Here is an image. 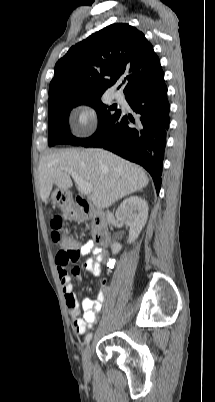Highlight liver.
Masks as SVG:
<instances>
[{"mask_svg":"<svg viewBox=\"0 0 215 402\" xmlns=\"http://www.w3.org/2000/svg\"><path fill=\"white\" fill-rule=\"evenodd\" d=\"M63 168L73 170L92 185L90 199L99 210L142 190L149 182L142 168L109 151L68 149L46 154L40 159L38 171L42 201H47L54 184L65 191L72 187V180Z\"/></svg>","mask_w":215,"mask_h":402,"instance_id":"obj_1","label":"liver"}]
</instances>
